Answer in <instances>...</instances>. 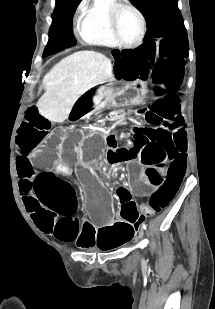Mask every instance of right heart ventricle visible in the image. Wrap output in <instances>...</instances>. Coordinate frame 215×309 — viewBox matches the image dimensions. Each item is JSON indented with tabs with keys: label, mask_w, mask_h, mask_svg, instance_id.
I'll return each mask as SVG.
<instances>
[{
	"label": "right heart ventricle",
	"mask_w": 215,
	"mask_h": 309,
	"mask_svg": "<svg viewBox=\"0 0 215 309\" xmlns=\"http://www.w3.org/2000/svg\"><path fill=\"white\" fill-rule=\"evenodd\" d=\"M80 28L83 39L90 44H97L105 47H113V31L107 9H96L95 14H86V19H81Z\"/></svg>",
	"instance_id": "right-heart-ventricle-1"
}]
</instances>
